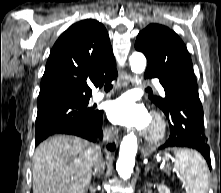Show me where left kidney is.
<instances>
[{
  "label": "left kidney",
  "mask_w": 221,
  "mask_h": 193,
  "mask_svg": "<svg viewBox=\"0 0 221 193\" xmlns=\"http://www.w3.org/2000/svg\"><path fill=\"white\" fill-rule=\"evenodd\" d=\"M148 186H151V184H148ZM157 189H158L159 193H170L169 188H167V186H165L164 184L157 185Z\"/></svg>",
  "instance_id": "1"
}]
</instances>
